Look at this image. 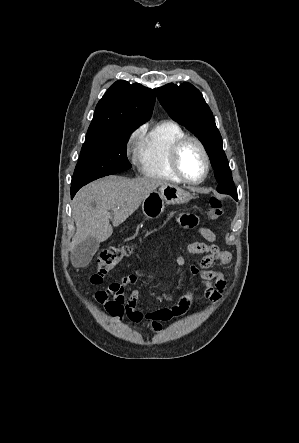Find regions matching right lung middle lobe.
I'll return each instance as SVG.
<instances>
[{"mask_svg":"<svg viewBox=\"0 0 299 443\" xmlns=\"http://www.w3.org/2000/svg\"><path fill=\"white\" fill-rule=\"evenodd\" d=\"M136 128L118 127L86 135L71 189H80L93 180L130 169L126 143Z\"/></svg>","mask_w":299,"mask_h":443,"instance_id":"1","label":"right lung middle lobe"}]
</instances>
